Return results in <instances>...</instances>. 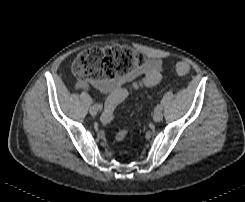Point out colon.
Here are the masks:
<instances>
[{"mask_svg": "<svg viewBox=\"0 0 245 202\" xmlns=\"http://www.w3.org/2000/svg\"><path fill=\"white\" fill-rule=\"evenodd\" d=\"M142 61V55L124 45L90 48L84 49L76 55L72 62V71L83 79L93 80L103 76L114 80L125 76ZM174 72L177 75L185 76L189 74L190 67L185 62H177L174 65ZM114 110V105H106L101 116L103 123H109L113 119ZM127 134V130H122L115 136V141L122 142Z\"/></svg>", "mask_w": 245, "mask_h": 202, "instance_id": "5ec220e1", "label": "colon"}]
</instances>
